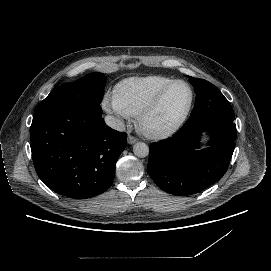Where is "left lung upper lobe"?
Instances as JSON below:
<instances>
[{"label": "left lung upper lobe", "mask_w": 271, "mask_h": 271, "mask_svg": "<svg viewBox=\"0 0 271 271\" xmlns=\"http://www.w3.org/2000/svg\"><path fill=\"white\" fill-rule=\"evenodd\" d=\"M189 79L197 94L190 117L205 113L234 115L228 100L213 84L203 79L193 77Z\"/></svg>", "instance_id": "left-lung-upper-lobe-1"}]
</instances>
